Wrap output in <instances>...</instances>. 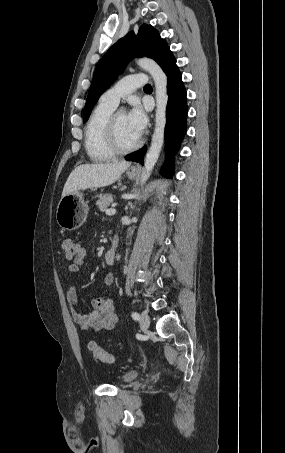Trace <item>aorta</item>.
Here are the masks:
<instances>
[{"label": "aorta", "instance_id": "1", "mask_svg": "<svg viewBox=\"0 0 285 453\" xmlns=\"http://www.w3.org/2000/svg\"><path fill=\"white\" fill-rule=\"evenodd\" d=\"M137 64L152 76L155 84L156 96L155 128L151 145L144 161V170L141 176V184L143 185L150 177L163 146L168 94L167 76L154 60L142 58L137 60Z\"/></svg>", "mask_w": 285, "mask_h": 453}]
</instances>
